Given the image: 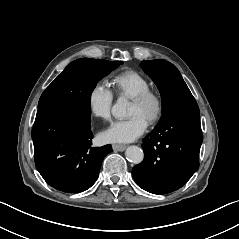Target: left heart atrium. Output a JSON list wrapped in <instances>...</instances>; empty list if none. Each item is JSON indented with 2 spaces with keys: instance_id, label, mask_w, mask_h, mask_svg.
Here are the masks:
<instances>
[{
  "instance_id": "39dd6f15",
  "label": "left heart atrium",
  "mask_w": 239,
  "mask_h": 239,
  "mask_svg": "<svg viewBox=\"0 0 239 239\" xmlns=\"http://www.w3.org/2000/svg\"><path fill=\"white\" fill-rule=\"evenodd\" d=\"M148 127V121L139 114L128 119L114 122L102 133L107 142H130L142 135Z\"/></svg>"
}]
</instances>
